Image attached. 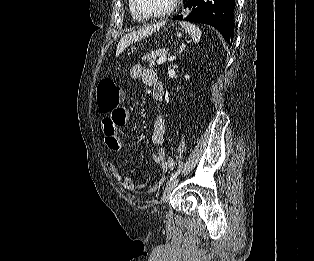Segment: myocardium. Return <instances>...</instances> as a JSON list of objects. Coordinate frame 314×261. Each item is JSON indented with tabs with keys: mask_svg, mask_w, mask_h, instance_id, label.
<instances>
[{
	"mask_svg": "<svg viewBox=\"0 0 314 261\" xmlns=\"http://www.w3.org/2000/svg\"><path fill=\"white\" fill-rule=\"evenodd\" d=\"M180 0H172L170 5L159 12L156 13H146L141 10V8L138 5V0H132L133 2V8L136 11V13L143 19H154V18H162L170 15L177 7Z\"/></svg>",
	"mask_w": 314,
	"mask_h": 261,
	"instance_id": "obj_1",
	"label": "myocardium"
}]
</instances>
